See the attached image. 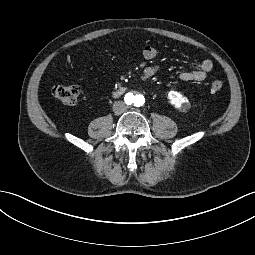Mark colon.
<instances>
[{"label":"colon","instance_id":"obj_1","mask_svg":"<svg viewBox=\"0 0 255 255\" xmlns=\"http://www.w3.org/2000/svg\"><path fill=\"white\" fill-rule=\"evenodd\" d=\"M210 88L212 92H219L223 88V82L213 80ZM52 95L66 105H74L79 101L81 89L75 85H57L52 89Z\"/></svg>","mask_w":255,"mask_h":255}]
</instances>
